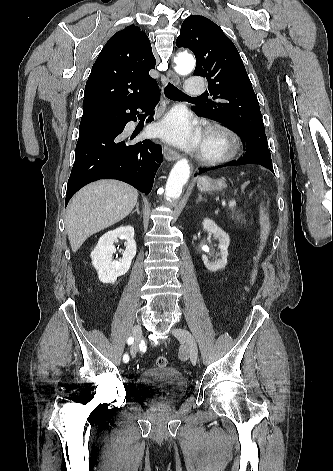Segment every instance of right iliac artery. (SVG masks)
Returning <instances> with one entry per match:
<instances>
[{
    "label": "right iliac artery",
    "mask_w": 333,
    "mask_h": 471,
    "mask_svg": "<svg viewBox=\"0 0 333 471\" xmlns=\"http://www.w3.org/2000/svg\"><path fill=\"white\" fill-rule=\"evenodd\" d=\"M133 342H134V338H133V337H129L128 340H127L128 345H131ZM123 361H124L125 363H127V362L129 361V356H128V354H124V356H123Z\"/></svg>",
    "instance_id": "obj_1"
}]
</instances>
